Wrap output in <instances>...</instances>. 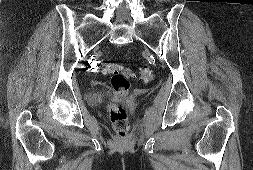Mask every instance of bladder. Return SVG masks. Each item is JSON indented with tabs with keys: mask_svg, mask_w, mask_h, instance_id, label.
<instances>
[{
	"mask_svg": "<svg viewBox=\"0 0 253 170\" xmlns=\"http://www.w3.org/2000/svg\"><path fill=\"white\" fill-rule=\"evenodd\" d=\"M107 96V92L105 90H96L92 91L88 94V101L92 105L99 104L105 97Z\"/></svg>",
	"mask_w": 253,
	"mask_h": 170,
	"instance_id": "1",
	"label": "bladder"
}]
</instances>
